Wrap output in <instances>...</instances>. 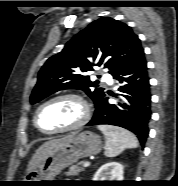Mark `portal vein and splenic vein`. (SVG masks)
<instances>
[{
    "mask_svg": "<svg viewBox=\"0 0 178 186\" xmlns=\"http://www.w3.org/2000/svg\"><path fill=\"white\" fill-rule=\"evenodd\" d=\"M83 166L84 167H89L90 166V162L89 161L84 162Z\"/></svg>",
    "mask_w": 178,
    "mask_h": 186,
    "instance_id": "obj_1",
    "label": "portal vein and splenic vein"
}]
</instances>
